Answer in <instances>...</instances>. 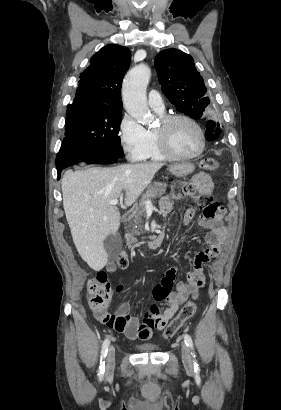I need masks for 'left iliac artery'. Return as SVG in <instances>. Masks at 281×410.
I'll use <instances>...</instances> for the list:
<instances>
[{
    "label": "left iliac artery",
    "instance_id": "left-iliac-artery-1",
    "mask_svg": "<svg viewBox=\"0 0 281 410\" xmlns=\"http://www.w3.org/2000/svg\"><path fill=\"white\" fill-rule=\"evenodd\" d=\"M184 341L185 344L191 349L192 351V356L195 358V353H194V349H193V341L191 339V337L188 334H184ZM194 369H199L198 364L196 362V360H194Z\"/></svg>",
    "mask_w": 281,
    "mask_h": 410
}]
</instances>
